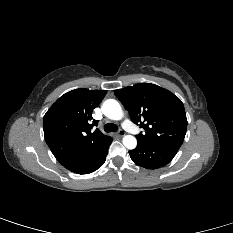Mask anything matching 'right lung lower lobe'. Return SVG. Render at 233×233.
<instances>
[{
	"label": "right lung lower lobe",
	"mask_w": 233,
	"mask_h": 233,
	"mask_svg": "<svg viewBox=\"0 0 233 233\" xmlns=\"http://www.w3.org/2000/svg\"><path fill=\"white\" fill-rule=\"evenodd\" d=\"M112 142V138L109 139L93 154V156L79 169L73 171L77 174H88L96 171L100 166H102L106 160L108 153V147Z\"/></svg>",
	"instance_id": "1"
}]
</instances>
